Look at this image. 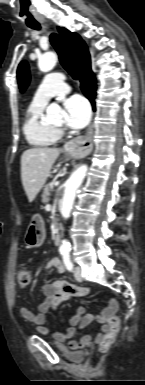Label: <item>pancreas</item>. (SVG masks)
<instances>
[{"instance_id": "pancreas-1", "label": "pancreas", "mask_w": 145, "mask_h": 385, "mask_svg": "<svg viewBox=\"0 0 145 385\" xmlns=\"http://www.w3.org/2000/svg\"><path fill=\"white\" fill-rule=\"evenodd\" d=\"M51 185H46L44 190H43V194H42V202L43 203H48L49 201V196H50V189H51Z\"/></svg>"}]
</instances>
